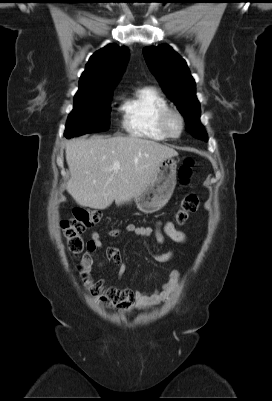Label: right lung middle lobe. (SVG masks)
Returning <instances> with one entry per match:
<instances>
[{
  "mask_svg": "<svg viewBox=\"0 0 272 401\" xmlns=\"http://www.w3.org/2000/svg\"><path fill=\"white\" fill-rule=\"evenodd\" d=\"M113 90L91 93L74 98L64 136L67 138L90 132L106 131L110 127L109 114Z\"/></svg>",
  "mask_w": 272,
  "mask_h": 401,
  "instance_id": "dd1d6c3e",
  "label": "right lung middle lobe"
}]
</instances>
